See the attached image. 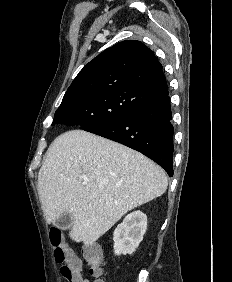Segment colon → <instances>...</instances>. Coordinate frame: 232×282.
I'll return each instance as SVG.
<instances>
[{
	"instance_id": "colon-1",
	"label": "colon",
	"mask_w": 232,
	"mask_h": 282,
	"mask_svg": "<svg viewBox=\"0 0 232 282\" xmlns=\"http://www.w3.org/2000/svg\"><path fill=\"white\" fill-rule=\"evenodd\" d=\"M50 241L53 246L54 258L57 263L61 264V275L69 282H77L82 277V264L74 255L69 252L61 239V231L57 228H52L49 233ZM85 263L89 268L90 274L95 278L94 282H104L101 278L102 260L100 251L90 246L85 251Z\"/></svg>"
}]
</instances>
